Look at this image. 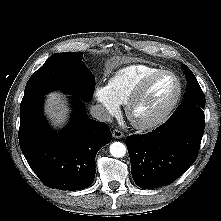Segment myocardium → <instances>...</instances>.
Returning a JSON list of instances; mask_svg holds the SVG:
<instances>
[{
    "instance_id": "obj_1",
    "label": "myocardium",
    "mask_w": 221,
    "mask_h": 221,
    "mask_svg": "<svg viewBox=\"0 0 221 221\" xmlns=\"http://www.w3.org/2000/svg\"><path fill=\"white\" fill-rule=\"evenodd\" d=\"M164 75L172 76L176 82V92H175L174 97L169 102V104L155 117H153L149 120H146V121L136 120L133 115L135 107L137 106L139 101L144 96L149 85L154 80H156L157 78L164 76ZM181 95H182V83H181L179 77L174 72L169 71V70L157 71V72L147 76L146 78H144L140 82V84L138 85V87L136 88V90L134 91V93L132 94V96L130 97L128 102L126 103L125 113H126L127 119L130 121L132 126L135 127L136 129H139V130L153 129V128L161 125L163 122H165L170 117V115L173 113L174 109L176 108V106L181 98Z\"/></svg>"
}]
</instances>
